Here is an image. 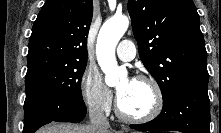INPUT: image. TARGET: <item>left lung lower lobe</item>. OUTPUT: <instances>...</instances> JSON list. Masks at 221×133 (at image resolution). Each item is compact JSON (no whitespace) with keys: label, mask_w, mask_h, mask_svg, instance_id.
Instances as JSON below:
<instances>
[{"label":"left lung lower lobe","mask_w":221,"mask_h":133,"mask_svg":"<svg viewBox=\"0 0 221 133\" xmlns=\"http://www.w3.org/2000/svg\"><path fill=\"white\" fill-rule=\"evenodd\" d=\"M208 84L190 83L180 87L163 102L160 115L132 129L148 131H180L183 133H210V101Z\"/></svg>","instance_id":"left-lung-lower-lobe-1"}]
</instances>
